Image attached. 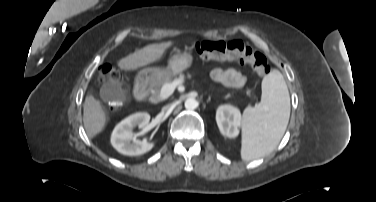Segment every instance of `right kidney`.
Masks as SVG:
<instances>
[{"label": "right kidney", "mask_w": 376, "mask_h": 202, "mask_svg": "<svg viewBox=\"0 0 376 202\" xmlns=\"http://www.w3.org/2000/svg\"><path fill=\"white\" fill-rule=\"evenodd\" d=\"M150 121V115L146 112L134 113L118 123L112 134L111 144L121 154L138 156L150 151L154 142L137 140L133 138V128H144ZM133 140V141H131Z\"/></svg>", "instance_id": "1"}]
</instances>
